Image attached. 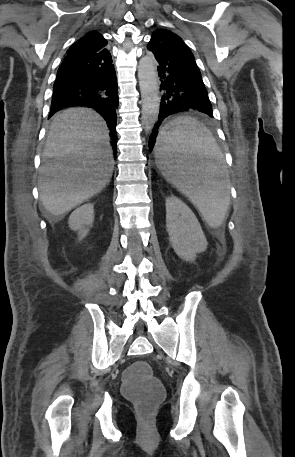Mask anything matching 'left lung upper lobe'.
I'll list each match as a JSON object with an SVG mask.
<instances>
[{
    "label": "left lung upper lobe",
    "instance_id": "left-lung-upper-lobe-1",
    "mask_svg": "<svg viewBox=\"0 0 295 457\" xmlns=\"http://www.w3.org/2000/svg\"><path fill=\"white\" fill-rule=\"evenodd\" d=\"M151 39L157 40L175 51L195 60L193 53L184 41L175 33L166 29H157L153 32Z\"/></svg>",
    "mask_w": 295,
    "mask_h": 457
}]
</instances>
